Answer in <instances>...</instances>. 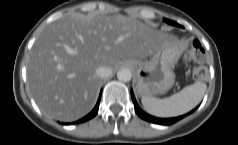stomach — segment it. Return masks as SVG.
<instances>
[{"label":"stomach","mask_w":238,"mask_h":145,"mask_svg":"<svg viewBox=\"0 0 238 145\" xmlns=\"http://www.w3.org/2000/svg\"><path fill=\"white\" fill-rule=\"evenodd\" d=\"M179 51L176 42H166L157 49L149 61L134 70L136 90L140 96H153L169 91L175 82L173 68L178 61Z\"/></svg>","instance_id":"stomach-1"}]
</instances>
